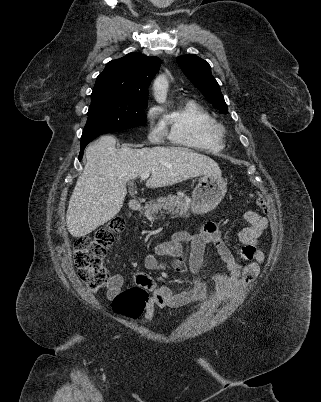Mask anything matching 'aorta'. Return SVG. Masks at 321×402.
I'll use <instances>...</instances> for the list:
<instances>
[{
    "mask_svg": "<svg viewBox=\"0 0 321 402\" xmlns=\"http://www.w3.org/2000/svg\"><path fill=\"white\" fill-rule=\"evenodd\" d=\"M168 90V81L165 75L156 78L153 85L154 98L158 103H165Z\"/></svg>",
    "mask_w": 321,
    "mask_h": 402,
    "instance_id": "762f6f07",
    "label": "aorta"
}]
</instances>
